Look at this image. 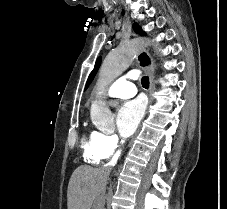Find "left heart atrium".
<instances>
[{
	"label": "left heart atrium",
	"instance_id": "left-heart-atrium-1",
	"mask_svg": "<svg viewBox=\"0 0 227 209\" xmlns=\"http://www.w3.org/2000/svg\"><path fill=\"white\" fill-rule=\"evenodd\" d=\"M145 111L144 103L140 99L124 101L119 107L118 129L124 137L131 136Z\"/></svg>",
	"mask_w": 227,
	"mask_h": 209
}]
</instances>
